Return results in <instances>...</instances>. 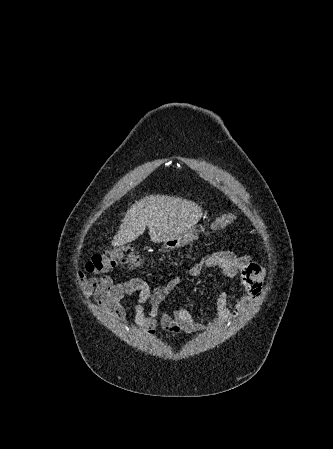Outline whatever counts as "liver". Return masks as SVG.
I'll return each instance as SVG.
<instances>
[{"instance_id":"obj_1","label":"liver","mask_w":333,"mask_h":449,"mask_svg":"<svg viewBox=\"0 0 333 449\" xmlns=\"http://www.w3.org/2000/svg\"><path fill=\"white\" fill-rule=\"evenodd\" d=\"M202 209L186 199L150 195L136 201L127 210L111 244L122 247L149 228L151 241L161 243L179 236L202 217Z\"/></svg>"}]
</instances>
